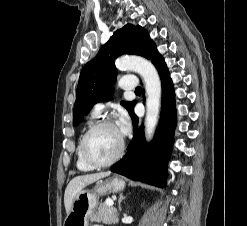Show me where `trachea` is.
I'll list each match as a JSON object with an SVG mask.
<instances>
[{
	"mask_svg": "<svg viewBox=\"0 0 247 226\" xmlns=\"http://www.w3.org/2000/svg\"><path fill=\"white\" fill-rule=\"evenodd\" d=\"M135 92H141V87H137V88L135 89Z\"/></svg>",
	"mask_w": 247,
	"mask_h": 226,
	"instance_id": "obj_1",
	"label": "trachea"
}]
</instances>
